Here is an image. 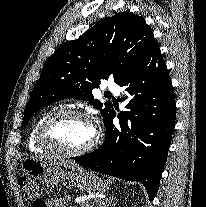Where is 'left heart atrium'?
Wrapping results in <instances>:
<instances>
[{"label":"left heart atrium","mask_w":206,"mask_h":207,"mask_svg":"<svg viewBox=\"0 0 206 207\" xmlns=\"http://www.w3.org/2000/svg\"><path fill=\"white\" fill-rule=\"evenodd\" d=\"M93 130H94V134L96 133V129L95 128H93Z\"/></svg>","instance_id":"1"}]
</instances>
